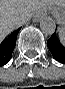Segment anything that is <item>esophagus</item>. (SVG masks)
Returning a JSON list of instances; mask_svg holds the SVG:
<instances>
[{"label":"esophagus","mask_w":65,"mask_h":89,"mask_svg":"<svg viewBox=\"0 0 65 89\" xmlns=\"http://www.w3.org/2000/svg\"><path fill=\"white\" fill-rule=\"evenodd\" d=\"M40 18H41V15H38V16L34 17V21H39Z\"/></svg>","instance_id":"1"}]
</instances>
